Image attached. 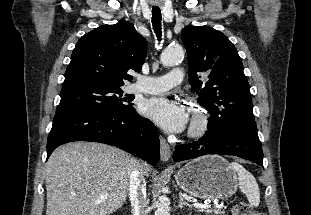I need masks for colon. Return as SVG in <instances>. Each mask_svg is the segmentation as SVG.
<instances>
[{
	"mask_svg": "<svg viewBox=\"0 0 311 215\" xmlns=\"http://www.w3.org/2000/svg\"><path fill=\"white\" fill-rule=\"evenodd\" d=\"M233 214L234 215H266L265 213L261 211L254 210V208L246 202L237 203L233 208Z\"/></svg>",
	"mask_w": 311,
	"mask_h": 215,
	"instance_id": "1",
	"label": "colon"
}]
</instances>
